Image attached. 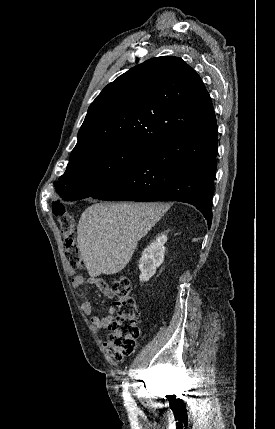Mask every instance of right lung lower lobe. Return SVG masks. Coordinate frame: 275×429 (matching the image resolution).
I'll list each match as a JSON object with an SVG mask.
<instances>
[{
  "instance_id": "right-lung-lower-lobe-1",
  "label": "right lung lower lobe",
  "mask_w": 275,
  "mask_h": 429,
  "mask_svg": "<svg viewBox=\"0 0 275 429\" xmlns=\"http://www.w3.org/2000/svg\"><path fill=\"white\" fill-rule=\"evenodd\" d=\"M218 126L175 134L150 149L142 163L93 198L110 201H180L196 206L210 228Z\"/></svg>"
}]
</instances>
